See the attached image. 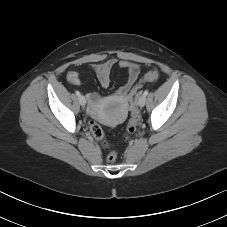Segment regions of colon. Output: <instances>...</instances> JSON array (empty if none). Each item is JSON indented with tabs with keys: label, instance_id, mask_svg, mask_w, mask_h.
I'll list each match as a JSON object with an SVG mask.
<instances>
[{
	"label": "colon",
	"instance_id": "colon-1",
	"mask_svg": "<svg viewBox=\"0 0 227 227\" xmlns=\"http://www.w3.org/2000/svg\"><path fill=\"white\" fill-rule=\"evenodd\" d=\"M159 78V74L155 70L148 71L142 81L137 84L129 93L128 95V101L130 105V119L126 125V137H129L131 134H133L136 131L137 125L140 121V114L136 107V98L139 93V89L142 86L143 82H156ZM89 129L92 134V136L99 141L103 146L107 145V142L105 140L104 131L102 127L95 121H91L89 123ZM117 158V154L115 151H111L107 155V161L108 162H114Z\"/></svg>",
	"mask_w": 227,
	"mask_h": 227
}]
</instances>
